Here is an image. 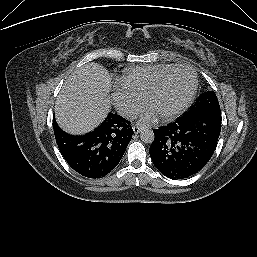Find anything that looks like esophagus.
I'll use <instances>...</instances> for the list:
<instances>
[{"label": "esophagus", "mask_w": 257, "mask_h": 257, "mask_svg": "<svg viewBox=\"0 0 257 257\" xmlns=\"http://www.w3.org/2000/svg\"><path fill=\"white\" fill-rule=\"evenodd\" d=\"M142 130V128L140 126H133V131L135 134H138L140 133Z\"/></svg>", "instance_id": "1"}]
</instances>
